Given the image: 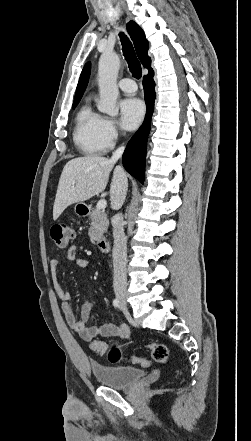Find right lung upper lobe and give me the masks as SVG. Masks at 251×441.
<instances>
[{
	"mask_svg": "<svg viewBox=\"0 0 251 441\" xmlns=\"http://www.w3.org/2000/svg\"><path fill=\"white\" fill-rule=\"evenodd\" d=\"M127 31L134 43L137 55L142 65L147 68L149 71L151 68V59L148 56V41L145 38V34L143 30L134 22L130 21L126 25ZM91 64L88 62L80 75V79L77 85L74 101H80L86 86L88 84L89 76H90Z\"/></svg>",
	"mask_w": 251,
	"mask_h": 441,
	"instance_id": "1",
	"label": "right lung upper lobe"
}]
</instances>
